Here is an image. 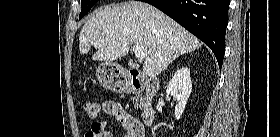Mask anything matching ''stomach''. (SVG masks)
Wrapping results in <instances>:
<instances>
[{
    "label": "stomach",
    "instance_id": "1",
    "mask_svg": "<svg viewBox=\"0 0 280 137\" xmlns=\"http://www.w3.org/2000/svg\"><path fill=\"white\" fill-rule=\"evenodd\" d=\"M97 78L102 86L113 91H123L119 86L120 73L116 70V65L111 62H104L98 66Z\"/></svg>",
    "mask_w": 280,
    "mask_h": 137
}]
</instances>
